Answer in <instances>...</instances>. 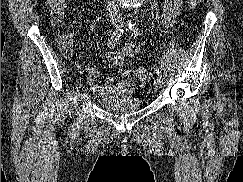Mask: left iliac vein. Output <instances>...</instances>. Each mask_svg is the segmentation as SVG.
<instances>
[{"mask_svg": "<svg viewBox=\"0 0 243 182\" xmlns=\"http://www.w3.org/2000/svg\"><path fill=\"white\" fill-rule=\"evenodd\" d=\"M154 84H155L156 87L160 86V84H161V77L160 76L157 77V79L155 80Z\"/></svg>", "mask_w": 243, "mask_h": 182, "instance_id": "obj_1", "label": "left iliac vein"}]
</instances>
